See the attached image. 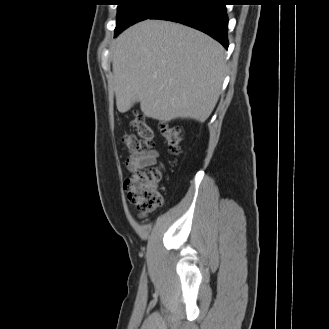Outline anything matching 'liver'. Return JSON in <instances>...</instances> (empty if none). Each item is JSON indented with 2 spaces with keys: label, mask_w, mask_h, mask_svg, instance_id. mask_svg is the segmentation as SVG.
Segmentation results:
<instances>
[{
  "label": "liver",
  "mask_w": 329,
  "mask_h": 329,
  "mask_svg": "<svg viewBox=\"0 0 329 329\" xmlns=\"http://www.w3.org/2000/svg\"><path fill=\"white\" fill-rule=\"evenodd\" d=\"M225 67L224 48L208 35L179 23L142 21L115 45L117 109L125 113L140 102L148 118L204 122L218 101Z\"/></svg>",
  "instance_id": "obj_1"
}]
</instances>
